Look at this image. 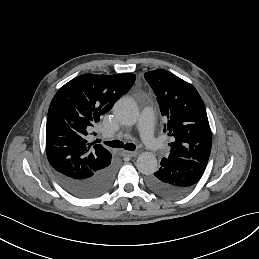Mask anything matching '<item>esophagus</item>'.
<instances>
[{"label": "esophagus", "instance_id": "1", "mask_svg": "<svg viewBox=\"0 0 259 259\" xmlns=\"http://www.w3.org/2000/svg\"><path fill=\"white\" fill-rule=\"evenodd\" d=\"M122 155L125 156V157H135L137 155V152H132V151H127V150H124L122 152Z\"/></svg>", "mask_w": 259, "mask_h": 259}]
</instances>
